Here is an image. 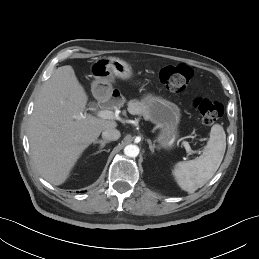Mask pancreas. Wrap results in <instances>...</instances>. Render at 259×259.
I'll list each match as a JSON object with an SVG mask.
<instances>
[{"instance_id":"cf45deb5","label":"pancreas","mask_w":259,"mask_h":259,"mask_svg":"<svg viewBox=\"0 0 259 259\" xmlns=\"http://www.w3.org/2000/svg\"><path fill=\"white\" fill-rule=\"evenodd\" d=\"M128 110L131 114L145 115L144 107L138 101H131Z\"/></svg>"}]
</instances>
